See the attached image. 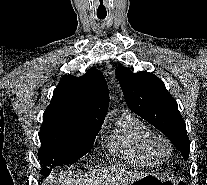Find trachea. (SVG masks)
Instances as JSON below:
<instances>
[{
    "label": "trachea",
    "mask_w": 207,
    "mask_h": 185,
    "mask_svg": "<svg viewBox=\"0 0 207 185\" xmlns=\"http://www.w3.org/2000/svg\"><path fill=\"white\" fill-rule=\"evenodd\" d=\"M98 18H99V19H104V18H105V16H99Z\"/></svg>",
    "instance_id": "1"
}]
</instances>
